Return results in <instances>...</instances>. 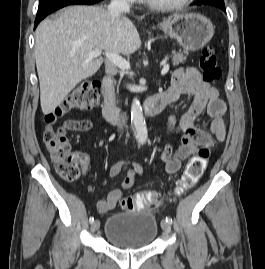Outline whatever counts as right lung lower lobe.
<instances>
[{"label":"right lung lower lobe","mask_w":265,"mask_h":269,"mask_svg":"<svg viewBox=\"0 0 265 269\" xmlns=\"http://www.w3.org/2000/svg\"><path fill=\"white\" fill-rule=\"evenodd\" d=\"M102 0H40L38 12L34 24V29L37 27L39 22L44 19L50 13L72 4H87L92 5Z\"/></svg>","instance_id":"obj_1"}]
</instances>
